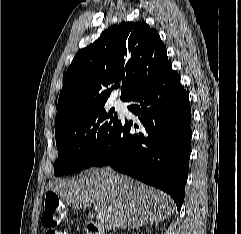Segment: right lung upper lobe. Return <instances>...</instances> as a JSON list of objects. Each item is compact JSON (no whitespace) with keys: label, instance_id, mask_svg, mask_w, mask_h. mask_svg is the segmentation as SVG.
Instances as JSON below:
<instances>
[{"label":"right lung upper lobe","instance_id":"cb5924a9","mask_svg":"<svg viewBox=\"0 0 241 234\" xmlns=\"http://www.w3.org/2000/svg\"><path fill=\"white\" fill-rule=\"evenodd\" d=\"M169 63L158 32L144 21L109 27L70 64L59 95L55 131L104 107L111 88L121 81V100L129 101Z\"/></svg>","mask_w":241,"mask_h":234}]
</instances>
